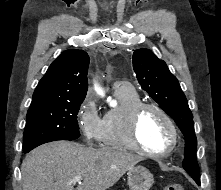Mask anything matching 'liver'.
<instances>
[{"instance_id": "1", "label": "liver", "mask_w": 221, "mask_h": 190, "mask_svg": "<svg viewBox=\"0 0 221 190\" xmlns=\"http://www.w3.org/2000/svg\"><path fill=\"white\" fill-rule=\"evenodd\" d=\"M143 160L140 155L103 147L55 141L26 155L21 166L23 190H106ZM75 176L83 181L74 188Z\"/></svg>"}]
</instances>
